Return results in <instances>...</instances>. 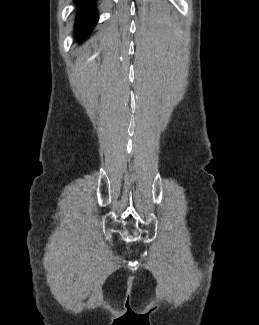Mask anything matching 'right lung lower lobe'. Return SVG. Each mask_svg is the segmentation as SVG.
<instances>
[{"label":"right lung lower lobe","instance_id":"obj_1","mask_svg":"<svg viewBox=\"0 0 259 325\" xmlns=\"http://www.w3.org/2000/svg\"><path fill=\"white\" fill-rule=\"evenodd\" d=\"M76 4V16L74 31L78 43L85 41L92 33L99 15L98 0H74Z\"/></svg>","mask_w":259,"mask_h":325}]
</instances>
